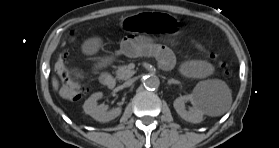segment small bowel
Returning a JSON list of instances; mask_svg holds the SVG:
<instances>
[{"label": "small bowel", "instance_id": "small-bowel-1", "mask_svg": "<svg viewBox=\"0 0 279 148\" xmlns=\"http://www.w3.org/2000/svg\"><path fill=\"white\" fill-rule=\"evenodd\" d=\"M99 44L100 41L98 39H91L85 44L84 49L87 53H94ZM120 52L131 58L145 55L154 56L164 69H169L174 64V57L169 48L148 37L139 35L126 36L121 43ZM182 72L190 77L201 78L210 75L213 72V67L206 61L194 60L185 63L182 66ZM75 74L78 76L76 71Z\"/></svg>", "mask_w": 279, "mask_h": 148}]
</instances>
